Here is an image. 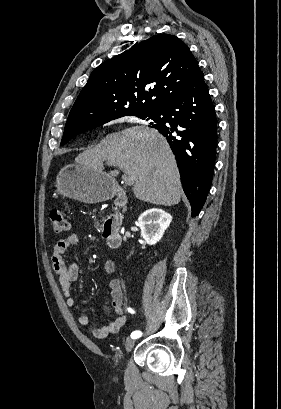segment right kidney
Listing matches in <instances>:
<instances>
[{"label": "right kidney", "instance_id": "right-kidney-1", "mask_svg": "<svg viewBox=\"0 0 281 409\" xmlns=\"http://www.w3.org/2000/svg\"><path fill=\"white\" fill-rule=\"evenodd\" d=\"M172 221L171 215L163 209H148L138 219L141 237L148 245H156L162 239Z\"/></svg>", "mask_w": 281, "mask_h": 409}]
</instances>
